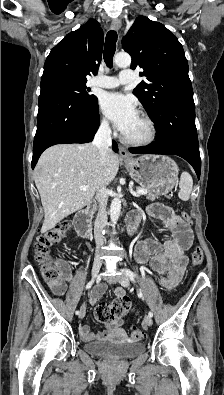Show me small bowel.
<instances>
[{"mask_svg": "<svg viewBox=\"0 0 224 395\" xmlns=\"http://www.w3.org/2000/svg\"><path fill=\"white\" fill-rule=\"evenodd\" d=\"M148 213L161 220L164 226L174 233L172 239L160 243L154 239H147L139 242L135 247L136 260L142 264H149L151 269L157 274L160 285L171 290L178 285L187 264L186 250L191 244L189 229H184V222L176 216L173 210L167 206L153 204L148 208ZM72 279V273L68 266L65 268L64 278L59 282L48 283V287L56 295H63L66 290V281ZM105 286L98 285L91 294V302L99 300ZM118 296L124 295L122 288L116 289ZM123 324L122 319L113 320L106 324L107 330L103 336H107L111 331L120 329ZM80 335L86 340L95 338L87 325L79 327Z\"/></svg>", "mask_w": 224, "mask_h": 395, "instance_id": "c3829d8e", "label": "small bowel"}]
</instances>
